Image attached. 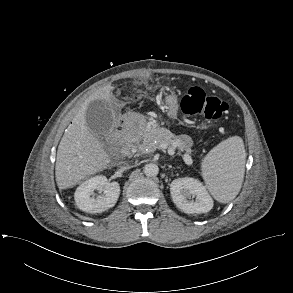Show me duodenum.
<instances>
[{"mask_svg":"<svg viewBox=\"0 0 293 293\" xmlns=\"http://www.w3.org/2000/svg\"><path fill=\"white\" fill-rule=\"evenodd\" d=\"M125 125H126V119L125 118H122L121 119V123H120V128H119V131H118V135L119 136H122L124 135V133L126 132L125 130ZM131 152V147L130 145L126 144L122 147V153L123 154H129Z\"/></svg>","mask_w":293,"mask_h":293,"instance_id":"410a0bca","label":"duodenum"}]
</instances>
